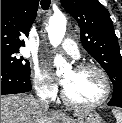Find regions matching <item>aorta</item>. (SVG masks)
<instances>
[{
  "label": "aorta",
  "instance_id": "obj_1",
  "mask_svg": "<svg viewBox=\"0 0 122 123\" xmlns=\"http://www.w3.org/2000/svg\"><path fill=\"white\" fill-rule=\"evenodd\" d=\"M66 23V17L62 14L54 15L50 18L47 32L50 43L53 46H58L64 38ZM54 65L57 67V72L63 71L68 66L65 59L60 55L54 58Z\"/></svg>",
  "mask_w": 122,
  "mask_h": 123
}]
</instances>
